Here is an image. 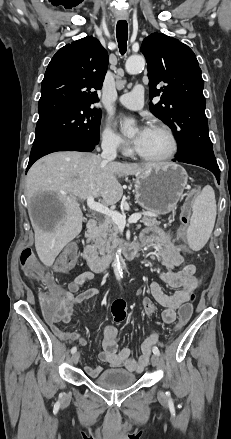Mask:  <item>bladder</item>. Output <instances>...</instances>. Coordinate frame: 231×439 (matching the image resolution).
Here are the masks:
<instances>
[{
    "instance_id": "bladder-1",
    "label": "bladder",
    "mask_w": 231,
    "mask_h": 439,
    "mask_svg": "<svg viewBox=\"0 0 231 439\" xmlns=\"http://www.w3.org/2000/svg\"><path fill=\"white\" fill-rule=\"evenodd\" d=\"M137 381L134 373L124 369H107L93 379V382L105 389L130 387Z\"/></svg>"
}]
</instances>
